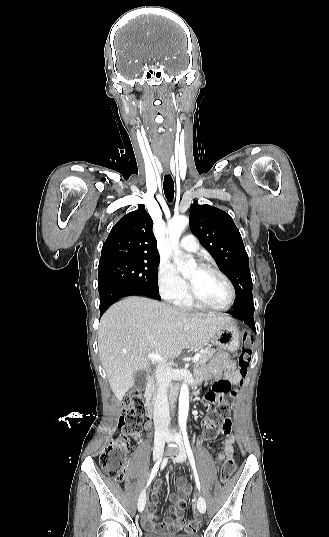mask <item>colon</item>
<instances>
[{
  "mask_svg": "<svg viewBox=\"0 0 329 537\" xmlns=\"http://www.w3.org/2000/svg\"><path fill=\"white\" fill-rule=\"evenodd\" d=\"M254 342L250 334L243 335L241 350L238 357L239 371L241 375L247 374L253 358ZM235 392L230 396H221L213 399L217 402L216 407L205 417L204 423L209 427H221L225 429L230 421L229 416L234 407ZM145 420V405L140 390L136 389L123 399V411L118 421L120 433L113 438L100 453V464L105 475L117 482L124 479L127 454L130 447V438L139 439L142 435V424ZM235 470L233 457L227 458L221 468V481L226 483ZM200 522L197 519L184 520L186 533L193 535L198 532Z\"/></svg>",
  "mask_w": 329,
  "mask_h": 537,
  "instance_id": "1",
  "label": "colon"
}]
</instances>
